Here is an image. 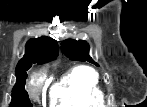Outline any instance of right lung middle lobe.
Here are the masks:
<instances>
[{
  "label": "right lung middle lobe",
  "mask_w": 147,
  "mask_h": 107,
  "mask_svg": "<svg viewBox=\"0 0 147 107\" xmlns=\"http://www.w3.org/2000/svg\"><path fill=\"white\" fill-rule=\"evenodd\" d=\"M32 65L26 66L20 70L19 74H16L17 82L12 90V101L10 107H32L28 98V93L24 89L25 80L27 77L26 71Z\"/></svg>",
  "instance_id": "obj_1"
}]
</instances>
